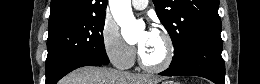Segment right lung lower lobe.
<instances>
[{"label":"right lung lower lobe","instance_id":"obj_1","mask_svg":"<svg viewBox=\"0 0 260 84\" xmlns=\"http://www.w3.org/2000/svg\"><path fill=\"white\" fill-rule=\"evenodd\" d=\"M88 65L102 66V65H105V64H102V63L96 62V61H91V60H87V61H82V62L76 63V64L71 65L68 68H66L52 84L57 83V81H59L63 76H65L66 74H68L72 70L77 69L79 67L88 66Z\"/></svg>","mask_w":260,"mask_h":84}]
</instances>
